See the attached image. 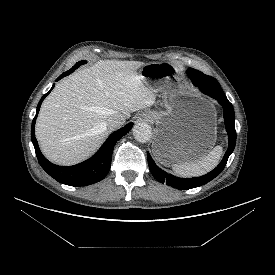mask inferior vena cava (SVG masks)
Listing matches in <instances>:
<instances>
[{"label": "inferior vena cava", "instance_id": "inferior-vena-cava-1", "mask_svg": "<svg viewBox=\"0 0 275 275\" xmlns=\"http://www.w3.org/2000/svg\"><path fill=\"white\" fill-rule=\"evenodd\" d=\"M126 121V118L122 114H114L107 120V126L109 129H115L120 127L124 122Z\"/></svg>", "mask_w": 275, "mask_h": 275}]
</instances>
